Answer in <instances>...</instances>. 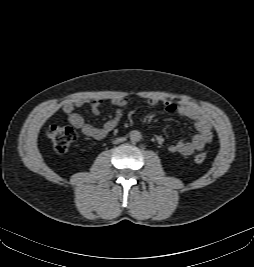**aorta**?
I'll use <instances>...</instances> for the list:
<instances>
[{"label": "aorta", "instance_id": "aorta-1", "mask_svg": "<svg viewBox=\"0 0 254 267\" xmlns=\"http://www.w3.org/2000/svg\"><path fill=\"white\" fill-rule=\"evenodd\" d=\"M129 136L132 142H138L142 138V135L138 130L131 131Z\"/></svg>", "mask_w": 254, "mask_h": 267}]
</instances>
